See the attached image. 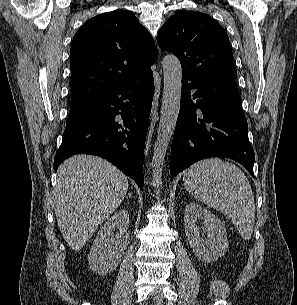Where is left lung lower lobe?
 Returning <instances> with one entry per match:
<instances>
[{
    "label": "left lung lower lobe",
    "mask_w": 297,
    "mask_h": 305,
    "mask_svg": "<svg viewBox=\"0 0 297 305\" xmlns=\"http://www.w3.org/2000/svg\"><path fill=\"white\" fill-rule=\"evenodd\" d=\"M208 157L233 159L254 177L255 155L234 78L198 80L183 73L171 178Z\"/></svg>",
    "instance_id": "left-lung-lower-lobe-1"
}]
</instances>
